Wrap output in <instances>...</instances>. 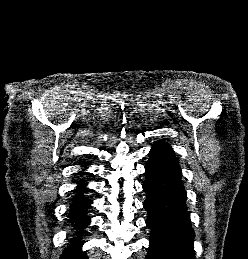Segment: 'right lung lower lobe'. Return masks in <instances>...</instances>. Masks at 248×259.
<instances>
[{
  "mask_svg": "<svg viewBox=\"0 0 248 259\" xmlns=\"http://www.w3.org/2000/svg\"><path fill=\"white\" fill-rule=\"evenodd\" d=\"M85 174V172L79 173ZM79 191H87L84 181H79L75 192V197L69 211V222L72 224L75 232L70 241V246L63 252L60 259H86L84 252H81V236L83 229L90 223V219L86 214V209L90 206L91 201L84 196L79 195Z\"/></svg>",
  "mask_w": 248,
  "mask_h": 259,
  "instance_id": "98d812e1",
  "label": "right lung lower lobe"
}]
</instances>
